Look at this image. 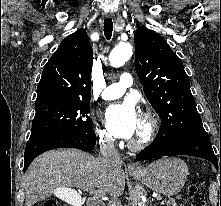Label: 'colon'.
<instances>
[{
  "label": "colon",
  "mask_w": 221,
  "mask_h": 206,
  "mask_svg": "<svg viewBox=\"0 0 221 206\" xmlns=\"http://www.w3.org/2000/svg\"><path fill=\"white\" fill-rule=\"evenodd\" d=\"M188 193L192 206H206L207 198L206 195L201 191L200 187L196 184H192L188 188ZM43 206H59L54 200H46Z\"/></svg>",
  "instance_id": "obj_1"
}]
</instances>
